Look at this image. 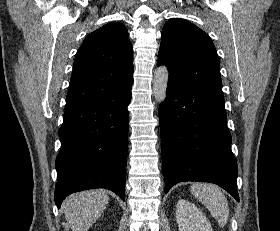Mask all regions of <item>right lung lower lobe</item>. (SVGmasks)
Instances as JSON below:
<instances>
[{
  "label": "right lung lower lobe",
  "instance_id": "98d812e1",
  "mask_svg": "<svg viewBox=\"0 0 280 231\" xmlns=\"http://www.w3.org/2000/svg\"><path fill=\"white\" fill-rule=\"evenodd\" d=\"M131 89L66 108L59 130L55 203L71 193L106 188L125 200Z\"/></svg>",
  "mask_w": 280,
  "mask_h": 231
}]
</instances>
